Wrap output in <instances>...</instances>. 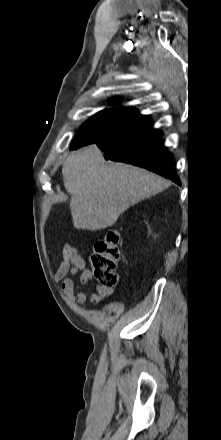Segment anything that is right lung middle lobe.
<instances>
[{
    "instance_id": "1",
    "label": "right lung middle lobe",
    "mask_w": 221,
    "mask_h": 440,
    "mask_svg": "<svg viewBox=\"0 0 221 440\" xmlns=\"http://www.w3.org/2000/svg\"><path fill=\"white\" fill-rule=\"evenodd\" d=\"M134 114V111H122L117 108L105 109L98 112L82 125L70 149L75 150L97 142L114 131Z\"/></svg>"
}]
</instances>
